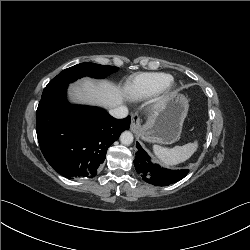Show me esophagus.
I'll list each match as a JSON object with an SVG mask.
<instances>
[{
    "label": "esophagus",
    "mask_w": 250,
    "mask_h": 250,
    "mask_svg": "<svg viewBox=\"0 0 250 250\" xmlns=\"http://www.w3.org/2000/svg\"><path fill=\"white\" fill-rule=\"evenodd\" d=\"M140 119L137 113H132L131 114V125L130 129L133 133H138L140 130Z\"/></svg>",
    "instance_id": "34e87169"
}]
</instances>
